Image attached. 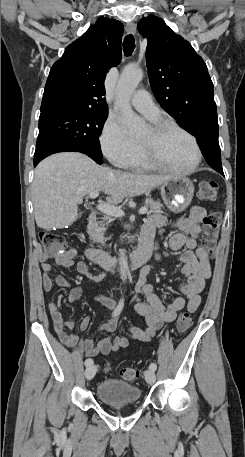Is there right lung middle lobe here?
I'll return each mask as SVG.
<instances>
[{
	"mask_svg": "<svg viewBox=\"0 0 245 457\" xmlns=\"http://www.w3.org/2000/svg\"><path fill=\"white\" fill-rule=\"evenodd\" d=\"M108 110L87 107H62L41 112L35 154L55 148L82 152L102 164L99 135Z\"/></svg>",
	"mask_w": 245,
	"mask_h": 457,
	"instance_id": "dd1d6c3e",
	"label": "right lung middle lobe"
}]
</instances>
